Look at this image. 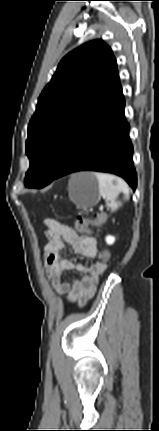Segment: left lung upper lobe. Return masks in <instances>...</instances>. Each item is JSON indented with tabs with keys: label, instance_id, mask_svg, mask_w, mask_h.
<instances>
[{
	"label": "left lung upper lobe",
	"instance_id": "5c2ea615",
	"mask_svg": "<svg viewBox=\"0 0 159 431\" xmlns=\"http://www.w3.org/2000/svg\"><path fill=\"white\" fill-rule=\"evenodd\" d=\"M120 90L116 59L102 40L85 43L61 60L29 122L26 187L42 188L54 179L76 134Z\"/></svg>",
	"mask_w": 159,
	"mask_h": 431
}]
</instances>
